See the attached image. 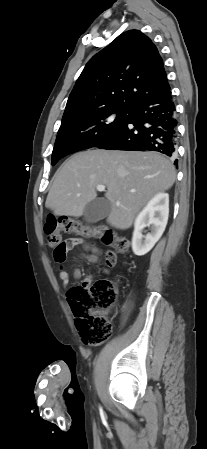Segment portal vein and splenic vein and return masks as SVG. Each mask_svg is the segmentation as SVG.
<instances>
[{
    "label": "portal vein and splenic vein",
    "mask_w": 207,
    "mask_h": 449,
    "mask_svg": "<svg viewBox=\"0 0 207 449\" xmlns=\"http://www.w3.org/2000/svg\"><path fill=\"white\" fill-rule=\"evenodd\" d=\"M105 186L104 185H97V187H96V189L98 190V191H105ZM131 192H134V191H131Z\"/></svg>",
    "instance_id": "1"
}]
</instances>
